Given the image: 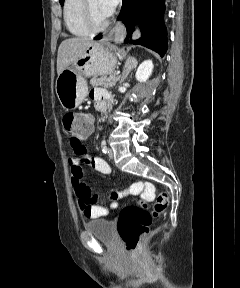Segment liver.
Segmentation results:
<instances>
[{
  "mask_svg": "<svg viewBox=\"0 0 240 288\" xmlns=\"http://www.w3.org/2000/svg\"><path fill=\"white\" fill-rule=\"evenodd\" d=\"M94 41L87 37H73L62 41L58 48L57 73L67 69Z\"/></svg>",
  "mask_w": 240,
  "mask_h": 288,
  "instance_id": "obj_1",
  "label": "liver"
}]
</instances>
